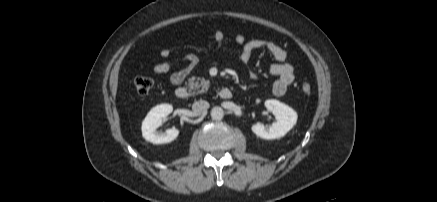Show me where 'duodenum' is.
I'll use <instances>...</instances> for the list:
<instances>
[{"instance_id":"1","label":"duodenum","mask_w":437,"mask_h":202,"mask_svg":"<svg viewBox=\"0 0 437 202\" xmlns=\"http://www.w3.org/2000/svg\"><path fill=\"white\" fill-rule=\"evenodd\" d=\"M175 95L178 99L185 100L189 97V90L185 86H179L175 90ZM219 96L224 100H228L232 98L233 94L230 89L222 88L219 91Z\"/></svg>"}]
</instances>
